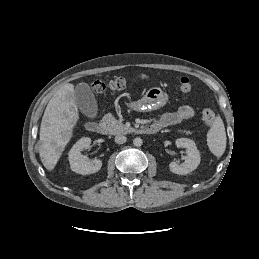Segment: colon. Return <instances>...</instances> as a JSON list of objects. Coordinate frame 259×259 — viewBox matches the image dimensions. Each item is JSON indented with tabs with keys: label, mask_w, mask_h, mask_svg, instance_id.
<instances>
[{
	"label": "colon",
	"mask_w": 259,
	"mask_h": 259,
	"mask_svg": "<svg viewBox=\"0 0 259 259\" xmlns=\"http://www.w3.org/2000/svg\"><path fill=\"white\" fill-rule=\"evenodd\" d=\"M126 86H127V82L123 78H115L108 82L98 80L93 83V89L97 93H104L108 90L122 91L126 88ZM175 89L183 93L189 92L191 90L190 80L187 77H181L176 81ZM214 119H215V114L213 110L206 108L202 111V120L205 126L207 127L211 126L214 122Z\"/></svg>",
	"instance_id": "5ec220e1"
}]
</instances>
